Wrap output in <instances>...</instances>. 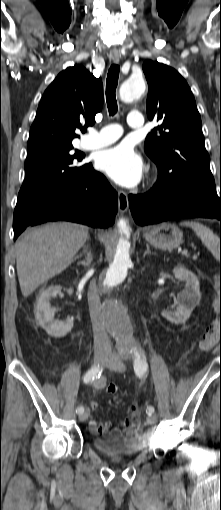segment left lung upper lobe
<instances>
[{"label": "left lung upper lobe", "instance_id": "1", "mask_svg": "<svg viewBox=\"0 0 221 510\" xmlns=\"http://www.w3.org/2000/svg\"><path fill=\"white\" fill-rule=\"evenodd\" d=\"M149 91L147 115L162 124L145 140V151L158 167L161 191L216 190L194 96L183 77L157 61L143 64Z\"/></svg>", "mask_w": 221, "mask_h": 510}]
</instances>
